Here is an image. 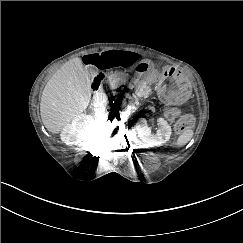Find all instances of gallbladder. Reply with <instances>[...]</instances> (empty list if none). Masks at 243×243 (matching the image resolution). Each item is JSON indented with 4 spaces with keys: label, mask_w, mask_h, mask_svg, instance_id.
Masks as SVG:
<instances>
[{
    "label": "gallbladder",
    "mask_w": 243,
    "mask_h": 243,
    "mask_svg": "<svg viewBox=\"0 0 243 243\" xmlns=\"http://www.w3.org/2000/svg\"><path fill=\"white\" fill-rule=\"evenodd\" d=\"M85 70H86L87 73L92 74V75L95 74L96 71H97L95 67L90 66V65L87 66Z\"/></svg>",
    "instance_id": "obj_1"
}]
</instances>
